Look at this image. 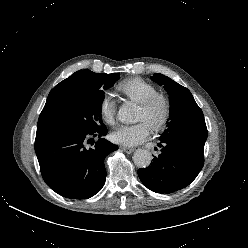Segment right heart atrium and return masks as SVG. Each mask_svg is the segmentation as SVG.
I'll list each match as a JSON object with an SVG mask.
<instances>
[{"mask_svg": "<svg viewBox=\"0 0 248 248\" xmlns=\"http://www.w3.org/2000/svg\"><path fill=\"white\" fill-rule=\"evenodd\" d=\"M99 112L103 121L109 125L115 123L116 102L110 94H105L99 104Z\"/></svg>", "mask_w": 248, "mask_h": 248, "instance_id": "right-heart-atrium-1", "label": "right heart atrium"}]
</instances>
